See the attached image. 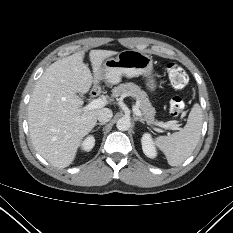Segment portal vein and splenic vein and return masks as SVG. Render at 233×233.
<instances>
[{
  "mask_svg": "<svg viewBox=\"0 0 233 233\" xmlns=\"http://www.w3.org/2000/svg\"><path fill=\"white\" fill-rule=\"evenodd\" d=\"M106 104H107L106 99H100V98L99 99H94L87 106H85L83 109H84V111H90V110H93V109L102 108ZM132 109H133V112H134L135 115L141 116V111L139 110L138 105H133ZM154 124L156 126L164 128V129H170L171 128V124H169V123L155 122Z\"/></svg>",
  "mask_w": 233,
  "mask_h": 233,
  "instance_id": "obj_1",
  "label": "portal vein and splenic vein"
}]
</instances>
